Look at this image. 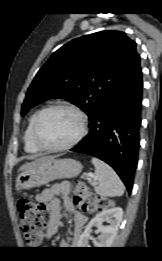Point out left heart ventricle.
I'll return each instance as SVG.
<instances>
[{
    "instance_id": "left-heart-ventricle-1",
    "label": "left heart ventricle",
    "mask_w": 162,
    "mask_h": 261,
    "mask_svg": "<svg viewBox=\"0 0 162 261\" xmlns=\"http://www.w3.org/2000/svg\"><path fill=\"white\" fill-rule=\"evenodd\" d=\"M78 131V117L71 111L56 109L43 117L39 127V137L46 145L58 146L72 140Z\"/></svg>"
}]
</instances>
